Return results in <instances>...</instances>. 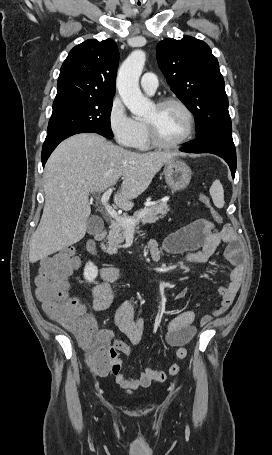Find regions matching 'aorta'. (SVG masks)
<instances>
[{"label": "aorta", "mask_w": 272, "mask_h": 455, "mask_svg": "<svg viewBox=\"0 0 272 455\" xmlns=\"http://www.w3.org/2000/svg\"><path fill=\"white\" fill-rule=\"evenodd\" d=\"M145 61L144 51H133L122 63L116 82L123 103L138 118L147 116L153 109L152 102L141 93L139 88V77Z\"/></svg>", "instance_id": "aorta-1"}]
</instances>
